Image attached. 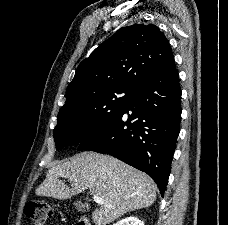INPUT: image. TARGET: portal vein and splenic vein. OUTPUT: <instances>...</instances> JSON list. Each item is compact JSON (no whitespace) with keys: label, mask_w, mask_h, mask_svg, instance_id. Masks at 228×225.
<instances>
[{"label":"portal vein and splenic vein","mask_w":228,"mask_h":225,"mask_svg":"<svg viewBox=\"0 0 228 225\" xmlns=\"http://www.w3.org/2000/svg\"><path fill=\"white\" fill-rule=\"evenodd\" d=\"M76 181V179H75ZM93 201H95V203H100V201H102L101 197H97V195H93ZM109 207H111V205H109Z\"/></svg>","instance_id":"obj_1"}]
</instances>
